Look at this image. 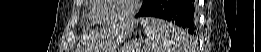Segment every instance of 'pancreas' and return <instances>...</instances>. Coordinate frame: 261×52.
<instances>
[{
    "label": "pancreas",
    "instance_id": "obj_1",
    "mask_svg": "<svg viewBox=\"0 0 261 52\" xmlns=\"http://www.w3.org/2000/svg\"><path fill=\"white\" fill-rule=\"evenodd\" d=\"M124 50H125L126 52H129V51H131V50H129L128 48H124Z\"/></svg>",
    "mask_w": 261,
    "mask_h": 52
}]
</instances>
